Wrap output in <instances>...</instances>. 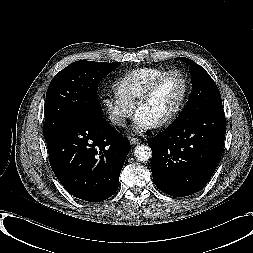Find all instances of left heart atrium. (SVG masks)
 Segmentation results:
<instances>
[{"label":"left heart atrium","mask_w":253,"mask_h":253,"mask_svg":"<svg viewBox=\"0 0 253 253\" xmlns=\"http://www.w3.org/2000/svg\"><path fill=\"white\" fill-rule=\"evenodd\" d=\"M155 126V123L141 113H137L134 119L133 129L137 133H144Z\"/></svg>","instance_id":"left-heart-atrium-1"}]
</instances>
